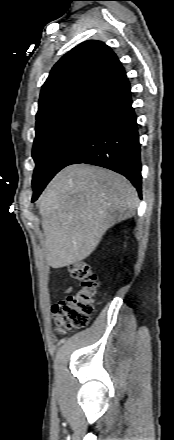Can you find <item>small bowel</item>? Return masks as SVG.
Returning <instances> with one entry per match:
<instances>
[{
  "label": "small bowel",
  "instance_id": "c3829d8e",
  "mask_svg": "<svg viewBox=\"0 0 174 440\" xmlns=\"http://www.w3.org/2000/svg\"><path fill=\"white\" fill-rule=\"evenodd\" d=\"M71 290H72V288H69L67 291H66V293H69V292H71Z\"/></svg>",
  "mask_w": 174,
  "mask_h": 440
}]
</instances>
